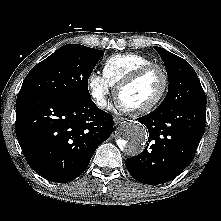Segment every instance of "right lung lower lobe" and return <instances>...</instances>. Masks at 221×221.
I'll return each mask as SVG.
<instances>
[{
	"label": "right lung lower lobe",
	"instance_id": "1",
	"mask_svg": "<svg viewBox=\"0 0 221 221\" xmlns=\"http://www.w3.org/2000/svg\"><path fill=\"white\" fill-rule=\"evenodd\" d=\"M112 130V116L92 100L18 94L15 131L19 144L29 166L47 180L76 179Z\"/></svg>",
	"mask_w": 221,
	"mask_h": 221
}]
</instances>
